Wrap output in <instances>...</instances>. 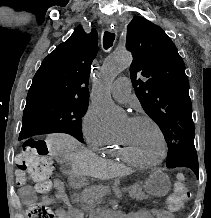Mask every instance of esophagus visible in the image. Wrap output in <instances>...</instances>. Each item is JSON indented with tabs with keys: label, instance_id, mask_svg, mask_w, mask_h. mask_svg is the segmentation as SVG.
I'll return each instance as SVG.
<instances>
[{
	"label": "esophagus",
	"instance_id": "1",
	"mask_svg": "<svg viewBox=\"0 0 211 218\" xmlns=\"http://www.w3.org/2000/svg\"><path fill=\"white\" fill-rule=\"evenodd\" d=\"M106 25H107L108 30H113V31L117 32L118 27H117L116 23H114L113 28L111 27L110 23H107Z\"/></svg>",
	"mask_w": 211,
	"mask_h": 218
}]
</instances>
